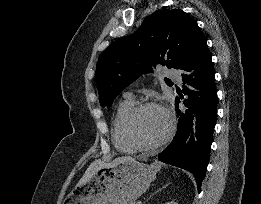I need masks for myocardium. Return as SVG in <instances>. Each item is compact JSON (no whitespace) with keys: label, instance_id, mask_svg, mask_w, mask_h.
Instances as JSON below:
<instances>
[{"label":"myocardium","instance_id":"myocardium-1","mask_svg":"<svg viewBox=\"0 0 261 204\" xmlns=\"http://www.w3.org/2000/svg\"><path fill=\"white\" fill-rule=\"evenodd\" d=\"M148 108H157V109L161 110L165 114V116L167 118V123H168L167 130H166V133L164 134V136L157 142L150 143V144L142 142L135 135L134 130H133V126H134V122H135L136 118L139 116V114L141 112H143L144 110H146ZM123 130H124V134H125V137L127 138V140L137 149L154 150V149H157V148L163 146L164 144H166L169 141V139L171 138V136L173 135L174 117H173V114L170 111V109L167 106L163 105L162 103L157 102V101H145V102L135 105L132 108V110L128 113V115L125 118L124 124H123Z\"/></svg>","mask_w":261,"mask_h":204}]
</instances>
